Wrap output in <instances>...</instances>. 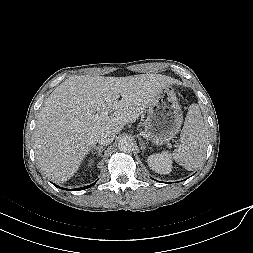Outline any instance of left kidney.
<instances>
[{"label":"left kidney","mask_w":253,"mask_h":253,"mask_svg":"<svg viewBox=\"0 0 253 253\" xmlns=\"http://www.w3.org/2000/svg\"><path fill=\"white\" fill-rule=\"evenodd\" d=\"M147 162L149 167L158 174H169L171 172V156L166 151L150 155Z\"/></svg>","instance_id":"5707ae66"}]
</instances>
